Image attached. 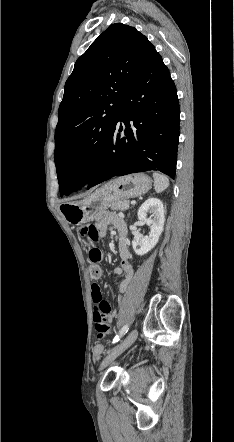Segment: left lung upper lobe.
Here are the masks:
<instances>
[{
  "mask_svg": "<svg viewBox=\"0 0 234 442\" xmlns=\"http://www.w3.org/2000/svg\"><path fill=\"white\" fill-rule=\"evenodd\" d=\"M155 51L134 27L116 23L76 61L55 131L61 196L71 193L69 187L85 185L100 165L123 97Z\"/></svg>",
  "mask_w": 234,
  "mask_h": 442,
  "instance_id": "1",
  "label": "left lung upper lobe"
}]
</instances>
